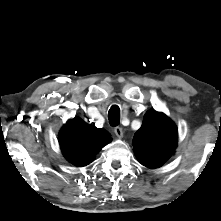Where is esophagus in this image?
<instances>
[{
    "label": "esophagus",
    "mask_w": 221,
    "mask_h": 221,
    "mask_svg": "<svg viewBox=\"0 0 221 221\" xmlns=\"http://www.w3.org/2000/svg\"><path fill=\"white\" fill-rule=\"evenodd\" d=\"M114 133L117 137L121 138L123 136V130L121 127L117 126L114 128Z\"/></svg>",
    "instance_id": "esophagus-1"
}]
</instances>
